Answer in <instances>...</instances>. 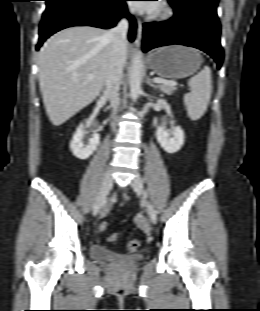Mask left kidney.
I'll return each mask as SVG.
<instances>
[{"mask_svg": "<svg viewBox=\"0 0 260 311\" xmlns=\"http://www.w3.org/2000/svg\"><path fill=\"white\" fill-rule=\"evenodd\" d=\"M156 135L161 147L170 154L180 150L184 144L185 135L179 126L172 131L165 130L162 126H159Z\"/></svg>", "mask_w": 260, "mask_h": 311, "instance_id": "obj_1", "label": "left kidney"}]
</instances>
